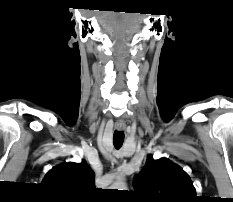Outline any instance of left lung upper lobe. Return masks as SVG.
I'll return each mask as SVG.
<instances>
[{"instance_id":"5c2ea615","label":"left lung upper lobe","mask_w":233,"mask_h":202,"mask_svg":"<svg viewBox=\"0 0 233 202\" xmlns=\"http://www.w3.org/2000/svg\"><path fill=\"white\" fill-rule=\"evenodd\" d=\"M135 192L144 202H195L196 190L189 176L166 158L153 160L135 177Z\"/></svg>"}]
</instances>
